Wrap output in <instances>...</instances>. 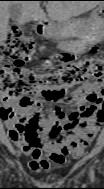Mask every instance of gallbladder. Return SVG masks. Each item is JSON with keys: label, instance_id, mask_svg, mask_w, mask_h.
I'll list each match as a JSON object with an SVG mask.
<instances>
[{"label": "gallbladder", "instance_id": "bac80fb5", "mask_svg": "<svg viewBox=\"0 0 104 189\" xmlns=\"http://www.w3.org/2000/svg\"><path fill=\"white\" fill-rule=\"evenodd\" d=\"M9 12H10L11 17L14 20H17L18 16L20 15V8L17 5H10Z\"/></svg>", "mask_w": 104, "mask_h": 189}]
</instances>
